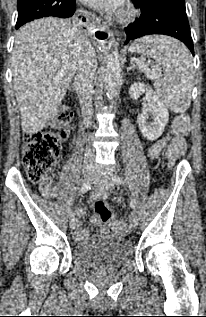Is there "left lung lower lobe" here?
Segmentation results:
<instances>
[{"label": "left lung lower lobe", "instance_id": "1", "mask_svg": "<svg viewBox=\"0 0 206 317\" xmlns=\"http://www.w3.org/2000/svg\"><path fill=\"white\" fill-rule=\"evenodd\" d=\"M140 18L126 28V44L133 39L164 34L181 40L194 55L189 22L185 9L168 5L142 6Z\"/></svg>", "mask_w": 206, "mask_h": 317}]
</instances>
